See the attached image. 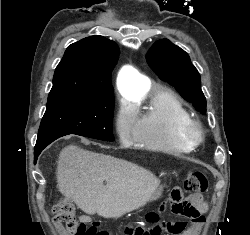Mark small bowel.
<instances>
[{"instance_id":"1","label":"small bowel","mask_w":250,"mask_h":235,"mask_svg":"<svg viewBox=\"0 0 250 235\" xmlns=\"http://www.w3.org/2000/svg\"><path fill=\"white\" fill-rule=\"evenodd\" d=\"M181 205L183 209L181 211L174 210V213L190 219L189 226L183 221L168 222L158 226L167 230L171 235H194L196 227L203 222L202 216L206 212L207 206L201 201L181 202ZM136 231L137 228L131 227L128 235H136Z\"/></svg>"}]
</instances>
